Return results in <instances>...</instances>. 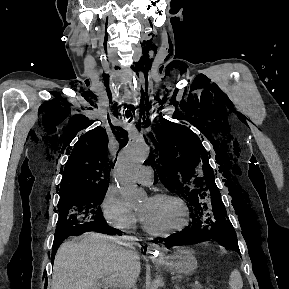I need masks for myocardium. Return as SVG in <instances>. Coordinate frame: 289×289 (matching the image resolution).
Segmentation results:
<instances>
[{"instance_id":"f54148a6","label":"myocardium","mask_w":289,"mask_h":289,"mask_svg":"<svg viewBox=\"0 0 289 289\" xmlns=\"http://www.w3.org/2000/svg\"><path fill=\"white\" fill-rule=\"evenodd\" d=\"M150 198L154 199V200L169 199V200H173V201L177 202L184 210L185 221H184L183 225L180 226L179 228L165 231V232H160V231H156V230L152 229L140 215L143 229L145 230V232H147L148 234H150L152 236H156V237H168V236H171V235H174V234H177L179 232L184 231L189 226V224H190V209H189L188 205L186 204V202L181 197H179L175 194H172V193H157V194L152 195Z\"/></svg>"}]
</instances>
